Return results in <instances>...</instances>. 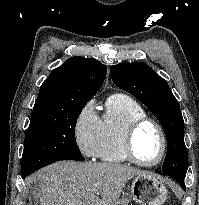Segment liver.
I'll list each match as a JSON object with an SVG mask.
<instances>
[{
  "label": "liver",
  "mask_w": 199,
  "mask_h": 205,
  "mask_svg": "<svg viewBox=\"0 0 199 205\" xmlns=\"http://www.w3.org/2000/svg\"><path fill=\"white\" fill-rule=\"evenodd\" d=\"M143 173L118 163L61 161L40 170L30 180L38 181L40 205H112L125 184Z\"/></svg>",
  "instance_id": "6515ba94"
}]
</instances>
